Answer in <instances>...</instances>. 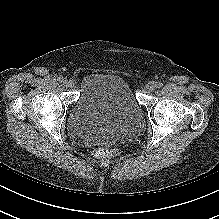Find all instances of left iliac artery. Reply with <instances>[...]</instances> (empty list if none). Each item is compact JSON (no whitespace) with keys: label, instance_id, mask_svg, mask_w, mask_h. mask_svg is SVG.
<instances>
[{"label":"left iliac artery","instance_id":"obj_1","mask_svg":"<svg viewBox=\"0 0 219 219\" xmlns=\"http://www.w3.org/2000/svg\"><path fill=\"white\" fill-rule=\"evenodd\" d=\"M155 85L157 88H161L163 84H162V82L158 81L155 83Z\"/></svg>","mask_w":219,"mask_h":219}]
</instances>
